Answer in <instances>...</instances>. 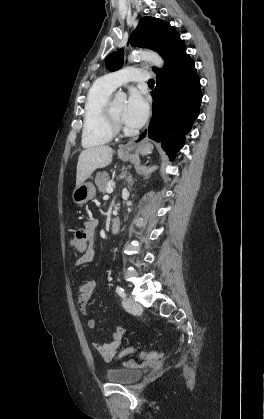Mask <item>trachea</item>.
Wrapping results in <instances>:
<instances>
[{
	"instance_id": "obj_1",
	"label": "trachea",
	"mask_w": 264,
	"mask_h": 419,
	"mask_svg": "<svg viewBox=\"0 0 264 419\" xmlns=\"http://www.w3.org/2000/svg\"><path fill=\"white\" fill-rule=\"evenodd\" d=\"M155 82H154V80L153 79H150L149 81H148V84H150V85H152V84H154Z\"/></svg>"
}]
</instances>
